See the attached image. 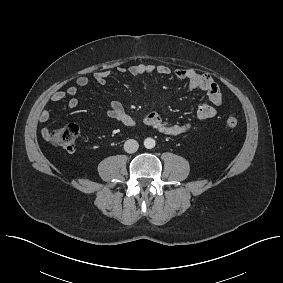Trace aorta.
I'll return each mask as SVG.
<instances>
[{
    "instance_id": "obj_1",
    "label": "aorta",
    "mask_w": 283,
    "mask_h": 283,
    "mask_svg": "<svg viewBox=\"0 0 283 283\" xmlns=\"http://www.w3.org/2000/svg\"><path fill=\"white\" fill-rule=\"evenodd\" d=\"M155 140L153 138H146L144 140V146L147 148V149H152L155 147Z\"/></svg>"
}]
</instances>
